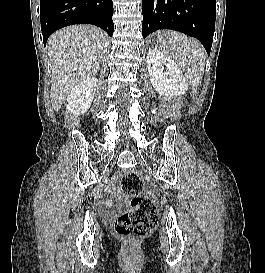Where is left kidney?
<instances>
[{"mask_svg": "<svg viewBox=\"0 0 265 273\" xmlns=\"http://www.w3.org/2000/svg\"><path fill=\"white\" fill-rule=\"evenodd\" d=\"M147 70L154 89L163 96H182L188 83L179 66L156 49L147 53ZM164 65L166 71H164Z\"/></svg>", "mask_w": 265, "mask_h": 273, "instance_id": "1", "label": "left kidney"}]
</instances>
